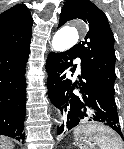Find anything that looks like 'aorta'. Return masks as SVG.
<instances>
[{"instance_id": "1", "label": "aorta", "mask_w": 124, "mask_h": 149, "mask_svg": "<svg viewBox=\"0 0 124 149\" xmlns=\"http://www.w3.org/2000/svg\"><path fill=\"white\" fill-rule=\"evenodd\" d=\"M79 39L76 28L63 26L53 36L52 45L58 51H64L77 43Z\"/></svg>"}]
</instances>
